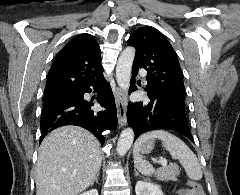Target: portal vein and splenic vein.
Wrapping results in <instances>:
<instances>
[{
  "label": "portal vein and splenic vein",
  "instance_id": "1",
  "mask_svg": "<svg viewBox=\"0 0 240 195\" xmlns=\"http://www.w3.org/2000/svg\"><path fill=\"white\" fill-rule=\"evenodd\" d=\"M159 163H161V165H167L168 161L167 159H160Z\"/></svg>",
  "mask_w": 240,
  "mask_h": 195
}]
</instances>
